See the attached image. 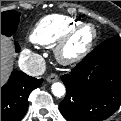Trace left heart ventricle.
Segmentation results:
<instances>
[{"label":"left heart ventricle","mask_w":121,"mask_h":121,"mask_svg":"<svg viewBox=\"0 0 121 121\" xmlns=\"http://www.w3.org/2000/svg\"><path fill=\"white\" fill-rule=\"evenodd\" d=\"M92 36V32L88 29H84L82 31H80L73 39L69 50L71 52L73 51H78L80 49H82L90 40Z\"/></svg>","instance_id":"b2bd125f"}]
</instances>
